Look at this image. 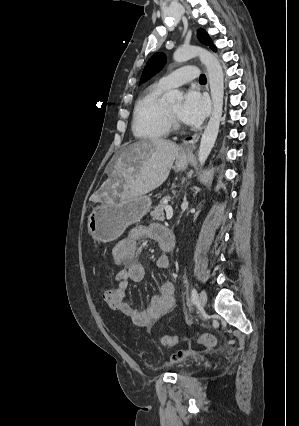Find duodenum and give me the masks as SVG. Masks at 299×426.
Here are the masks:
<instances>
[{"label":"duodenum","mask_w":299,"mask_h":426,"mask_svg":"<svg viewBox=\"0 0 299 426\" xmlns=\"http://www.w3.org/2000/svg\"><path fill=\"white\" fill-rule=\"evenodd\" d=\"M175 246V237L168 229H163L160 241V247L165 251L173 250Z\"/></svg>","instance_id":"obj_1"}]
</instances>
